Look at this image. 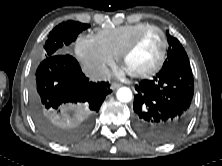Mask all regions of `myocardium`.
I'll return each instance as SVG.
<instances>
[{
  "instance_id": "f54148a6",
  "label": "myocardium",
  "mask_w": 222,
  "mask_h": 166,
  "mask_svg": "<svg viewBox=\"0 0 222 166\" xmlns=\"http://www.w3.org/2000/svg\"><path fill=\"white\" fill-rule=\"evenodd\" d=\"M150 31H156L159 33L161 40H162V49L160 56L156 63L151 66L150 68L137 72V73H129L131 76L136 78H144L151 76L155 74L164 64L166 57H167V51H168V40L166 33L156 25H149L143 30H141L138 34L135 35V37L124 47V49L119 53L118 55V61L123 66V63L127 56L137 47L139 42L143 39V37L149 33Z\"/></svg>"
}]
</instances>
